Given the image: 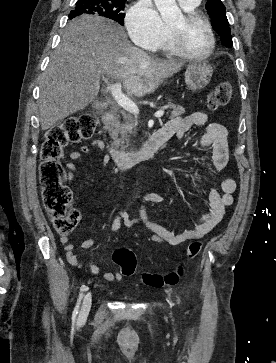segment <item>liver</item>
Listing matches in <instances>:
<instances>
[{"label":"liver","instance_id":"6515ba94","mask_svg":"<svg viewBox=\"0 0 276 363\" xmlns=\"http://www.w3.org/2000/svg\"><path fill=\"white\" fill-rule=\"evenodd\" d=\"M183 63L154 59L134 47L124 28L112 20L82 15L66 26L42 75L39 119L43 131L87 107L101 77L122 81L129 96L153 93L180 71Z\"/></svg>","mask_w":276,"mask_h":363}]
</instances>
